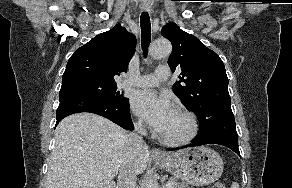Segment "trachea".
Segmentation results:
<instances>
[{
  "instance_id": "1",
  "label": "trachea",
  "mask_w": 292,
  "mask_h": 188,
  "mask_svg": "<svg viewBox=\"0 0 292 188\" xmlns=\"http://www.w3.org/2000/svg\"><path fill=\"white\" fill-rule=\"evenodd\" d=\"M141 26V46L144 51V55H147V49L151 41V23L150 17L147 12H143L140 17Z\"/></svg>"
}]
</instances>
